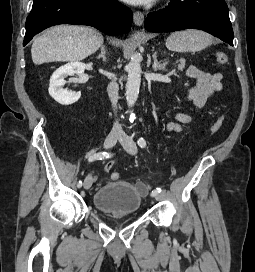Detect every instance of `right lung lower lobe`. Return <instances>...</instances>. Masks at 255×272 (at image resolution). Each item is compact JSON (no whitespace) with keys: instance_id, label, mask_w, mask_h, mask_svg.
Returning a JSON list of instances; mask_svg holds the SVG:
<instances>
[{"instance_id":"1","label":"right lung lower lobe","mask_w":255,"mask_h":272,"mask_svg":"<svg viewBox=\"0 0 255 272\" xmlns=\"http://www.w3.org/2000/svg\"><path fill=\"white\" fill-rule=\"evenodd\" d=\"M132 20L131 10L116 0H34L23 45L58 24L89 25L108 35H120L130 31Z\"/></svg>"}]
</instances>
